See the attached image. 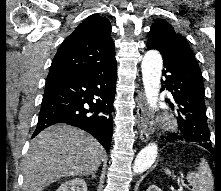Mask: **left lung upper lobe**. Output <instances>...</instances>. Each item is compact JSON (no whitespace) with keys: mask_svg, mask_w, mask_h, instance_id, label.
<instances>
[{"mask_svg":"<svg viewBox=\"0 0 221 191\" xmlns=\"http://www.w3.org/2000/svg\"><path fill=\"white\" fill-rule=\"evenodd\" d=\"M146 46L148 49H157L163 57H172L180 53L183 46L189 47V44L170 24L161 19L152 24ZM198 143L201 146L211 147L210 135Z\"/></svg>","mask_w":221,"mask_h":191,"instance_id":"1","label":"left lung upper lobe"}]
</instances>
